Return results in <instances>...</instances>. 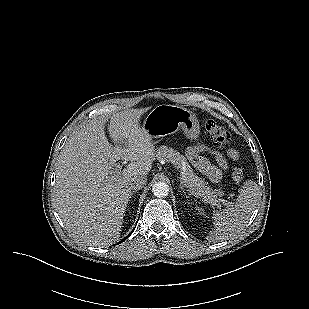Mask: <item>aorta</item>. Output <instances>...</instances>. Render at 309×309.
I'll return each mask as SVG.
<instances>
[{
  "label": "aorta",
  "mask_w": 309,
  "mask_h": 309,
  "mask_svg": "<svg viewBox=\"0 0 309 309\" xmlns=\"http://www.w3.org/2000/svg\"><path fill=\"white\" fill-rule=\"evenodd\" d=\"M153 194L158 197H166L169 194V186L164 182H156L152 187Z\"/></svg>",
  "instance_id": "1"
}]
</instances>
